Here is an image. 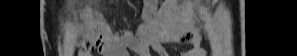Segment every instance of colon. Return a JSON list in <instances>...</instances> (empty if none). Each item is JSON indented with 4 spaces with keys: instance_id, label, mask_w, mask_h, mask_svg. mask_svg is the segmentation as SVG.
<instances>
[{
    "instance_id": "colon-1",
    "label": "colon",
    "mask_w": 297,
    "mask_h": 56,
    "mask_svg": "<svg viewBox=\"0 0 297 56\" xmlns=\"http://www.w3.org/2000/svg\"><path fill=\"white\" fill-rule=\"evenodd\" d=\"M102 31V25L99 22L94 23L89 29V37L80 41L78 45L84 49L94 50L101 45L103 38Z\"/></svg>"
}]
</instances>
